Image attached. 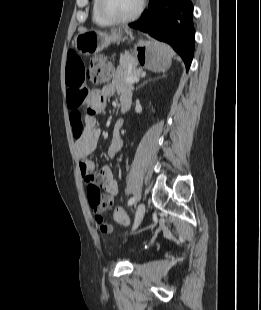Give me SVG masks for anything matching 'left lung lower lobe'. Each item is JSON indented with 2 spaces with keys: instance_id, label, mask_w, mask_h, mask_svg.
Here are the masks:
<instances>
[{
  "instance_id": "left-lung-lower-lobe-1",
  "label": "left lung lower lobe",
  "mask_w": 261,
  "mask_h": 310,
  "mask_svg": "<svg viewBox=\"0 0 261 310\" xmlns=\"http://www.w3.org/2000/svg\"><path fill=\"white\" fill-rule=\"evenodd\" d=\"M192 14L191 0H150L148 9L130 27L171 45L188 71L194 52Z\"/></svg>"
}]
</instances>
